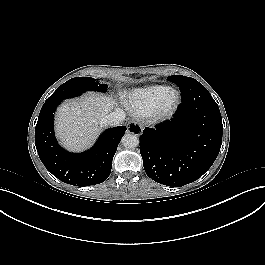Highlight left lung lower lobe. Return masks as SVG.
I'll return each instance as SVG.
<instances>
[{
	"label": "left lung lower lobe",
	"mask_w": 265,
	"mask_h": 265,
	"mask_svg": "<svg viewBox=\"0 0 265 265\" xmlns=\"http://www.w3.org/2000/svg\"><path fill=\"white\" fill-rule=\"evenodd\" d=\"M179 89L182 103L174 117L154 129L145 128L140 136L146 174L172 187L194 182L212 166L223 131L219 107L204 102L201 83H183Z\"/></svg>",
	"instance_id": "obj_1"
}]
</instances>
